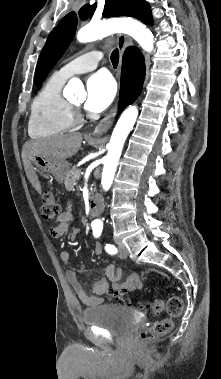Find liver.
<instances>
[{
    "label": "liver",
    "instance_id": "obj_1",
    "mask_svg": "<svg viewBox=\"0 0 221 379\" xmlns=\"http://www.w3.org/2000/svg\"><path fill=\"white\" fill-rule=\"evenodd\" d=\"M82 139V134L76 132L46 139L29 140L23 145L22 160L24 169L27 178L39 193H41V186L31 164L32 158L37 155H43L48 158L66 160L79 151Z\"/></svg>",
    "mask_w": 221,
    "mask_h": 379
}]
</instances>
